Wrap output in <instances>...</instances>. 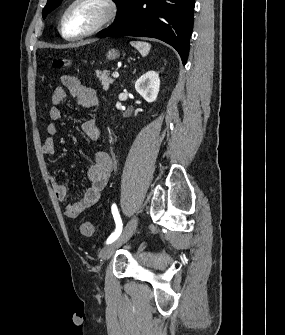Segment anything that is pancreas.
I'll return each mask as SVG.
<instances>
[{
  "instance_id": "pancreas-1",
  "label": "pancreas",
  "mask_w": 285,
  "mask_h": 335,
  "mask_svg": "<svg viewBox=\"0 0 285 335\" xmlns=\"http://www.w3.org/2000/svg\"><path fill=\"white\" fill-rule=\"evenodd\" d=\"M96 76L98 80H100L101 86H103V90H109L110 84H113L114 82L110 76V72H108V70H104V72L96 70Z\"/></svg>"
}]
</instances>
